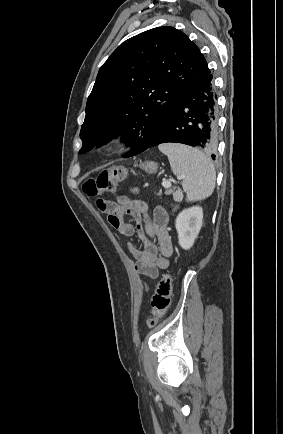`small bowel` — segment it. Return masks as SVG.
Returning <instances> with one entry per match:
<instances>
[{
    "label": "small bowel",
    "mask_w": 283,
    "mask_h": 434,
    "mask_svg": "<svg viewBox=\"0 0 283 434\" xmlns=\"http://www.w3.org/2000/svg\"><path fill=\"white\" fill-rule=\"evenodd\" d=\"M97 204L101 211L108 214L110 225L121 235L130 238L137 233L144 242V249L139 250L127 241V247L136 260L135 269L140 274L155 279L159 270L169 268L173 246L165 209L156 207L151 210L146 201L139 199L120 204L98 200ZM125 216L132 217L135 225L125 221Z\"/></svg>",
    "instance_id": "1"
}]
</instances>
